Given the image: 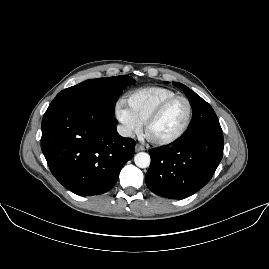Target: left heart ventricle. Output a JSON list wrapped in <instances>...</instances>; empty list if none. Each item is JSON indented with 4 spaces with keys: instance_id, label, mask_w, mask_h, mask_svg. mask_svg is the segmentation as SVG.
<instances>
[{
    "instance_id": "left-heart-ventricle-1",
    "label": "left heart ventricle",
    "mask_w": 269,
    "mask_h": 269,
    "mask_svg": "<svg viewBox=\"0 0 269 269\" xmlns=\"http://www.w3.org/2000/svg\"><path fill=\"white\" fill-rule=\"evenodd\" d=\"M187 116V104L178 100L171 104L161 117L152 124L149 136L156 141L173 137L183 127Z\"/></svg>"
}]
</instances>
